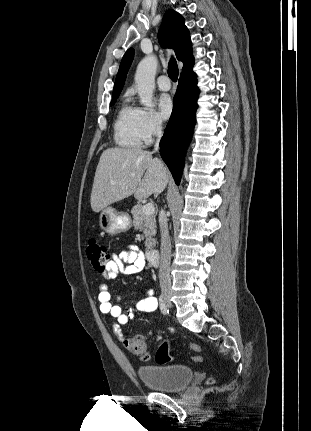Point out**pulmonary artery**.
Instances as JSON below:
<instances>
[{
	"label": "pulmonary artery",
	"mask_w": 311,
	"mask_h": 431,
	"mask_svg": "<svg viewBox=\"0 0 311 431\" xmlns=\"http://www.w3.org/2000/svg\"><path fill=\"white\" fill-rule=\"evenodd\" d=\"M158 87L162 91H169L171 89V81L167 75H161L157 80Z\"/></svg>",
	"instance_id": "pulmonary-artery-1"
}]
</instances>
